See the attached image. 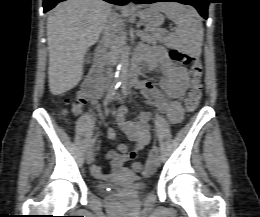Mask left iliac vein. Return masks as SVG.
<instances>
[{
    "mask_svg": "<svg viewBox=\"0 0 260 217\" xmlns=\"http://www.w3.org/2000/svg\"><path fill=\"white\" fill-rule=\"evenodd\" d=\"M118 99H120L119 96H117ZM149 163L152 167H158L160 165V156H159V153H152L150 155V159H149Z\"/></svg>",
    "mask_w": 260,
    "mask_h": 217,
    "instance_id": "1",
    "label": "left iliac vein"
}]
</instances>
